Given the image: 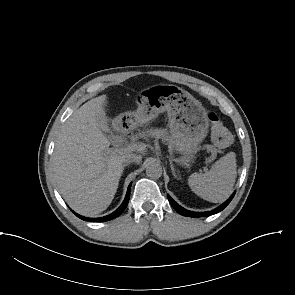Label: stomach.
<instances>
[{
	"instance_id": "obj_1",
	"label": "stomach",
	"mask_w": 295,
	"mask_h": 295,
	"mask_svg": "<svg viewBox=\"0 0 295 295\" xmlns=\"http://www.w3.org/2000/svg\"><path fill=\"white\" fill-rule=\"evenodd\" d=\"M165 111L177 150L183 154L182 162L188 163L194 158L209 127L205 108L189 92L172 84L154 85L143 91L136 111L127 112L119 119L125 118L126 123L136 127Z\"/></svg>"
}]
</instances>
